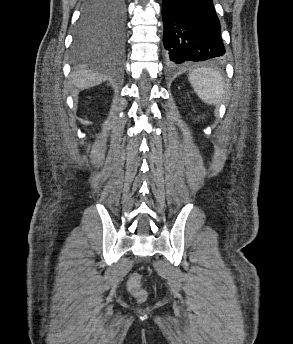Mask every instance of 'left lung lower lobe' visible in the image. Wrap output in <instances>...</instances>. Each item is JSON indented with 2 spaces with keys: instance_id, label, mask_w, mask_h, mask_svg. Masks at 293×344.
Segmentation results:
<instances>
[{
  "instance_id": "1",
  "label": "left lung lower lobe",
  "mask_w": 293,
  "mask_h": 344,
  "mask_svg": "<svg viewBox=\"0 0 293 344\" xmlns=\"http://www.w3.org/2000/svg\"><path fill=\"white\" fill-rule=\"evenodd\" d=\"M162 17L171 65L217 60L225 54L212 0H163Z\"/></svg>"
}]
</instances>
